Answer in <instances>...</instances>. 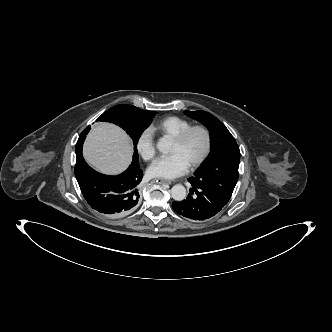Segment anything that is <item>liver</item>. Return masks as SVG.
<instances>
[{"label": "liver", "mask_w": 332, "mask_h": 332, "mask_svg": "<svg viewBox=\"0 0 332 332\" xmlns=\"http://www.w3.org/2000/svg\"><path fill=\"white\" fill-rule=\"evenodd\" d=\"M83 155L97 171L114 175L130 165L132 146L126 133L117 125L100 123L87 135Z\"/></svg>", "instance_id": "liver-1"}]
</instances>
